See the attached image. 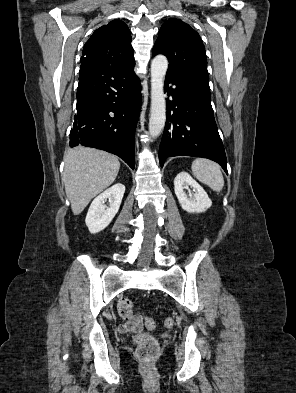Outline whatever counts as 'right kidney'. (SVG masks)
Segmentation results:
<instances>
[{
	"mask_svg": "<svg viewBox=\"0 0 296 393\" xmlns=\"http://www.w3.org/2000/svg\"><path fill=\"white\" fill-rule=\"evenodd\" d=\"M124 192L125 186L117 183L92 201L85 219L90 233H98L111 223L120 208ZM107 199L110 202L109 207L104 204Z\"/></svg>",
	"mask_w": 296,
	"mask_h": 393,
	"instance_id": "obj_1",
	"label": "right kidney"
}]
</instances>
